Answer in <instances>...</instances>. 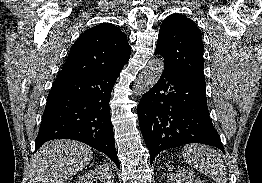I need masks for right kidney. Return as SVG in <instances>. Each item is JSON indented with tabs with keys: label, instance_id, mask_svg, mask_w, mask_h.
Listing matches in <instances>:
<instances>
[{
	"label": "right kidney",
	"instance_id": "obj_1",
	"mask_svg": "<svg viewBox=\"0 0 262 183\" xmlns=\"http://www.w3.org/2000/svg\"><path fill=\"white\" fill-rule=\"evenodd\" d=\"M114 183V175L108 164L99 165L87 171L78 183Z\"/></svg>",
	"mask_w": 262,
	"mask_h": 183
}]
</instances>
